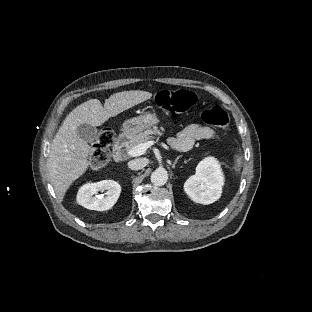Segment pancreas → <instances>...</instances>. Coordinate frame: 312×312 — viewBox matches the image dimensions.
<instances>
[{
    "label": "pancreas",
    "mask_w": 312,
    "mask_h": 312,
    "mask_svg": "<svg viewBox=\"0 0 312 312\" xmlns=\"http://www.w3.org/2000/svg\"><path fill=\"white\" fill-rule=\"evenodd\" d=\"M166 134V129L161 127L160 129L157 126H154L152 129H146L144 132L140 133L136 137H134L127 146V151L131 148L144 144L149 139H152L156 135L158 138Z\"/></svg>",
    "instance_id": "pancreas-1"
}]
</instances>
